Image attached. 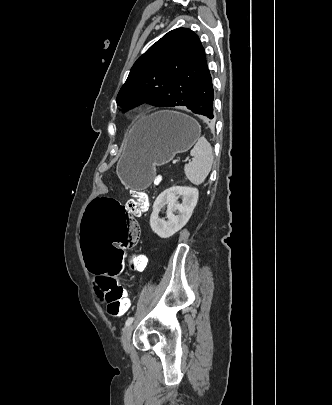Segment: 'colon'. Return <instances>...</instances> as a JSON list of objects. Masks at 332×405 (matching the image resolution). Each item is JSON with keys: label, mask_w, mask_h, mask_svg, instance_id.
Returning <instances> with one entry per match:
<instances>
[{"label": "colon", "mask_w": 332, "mask_h": 405, "mask_svg": "<svg viewBox=\"0 0 332 405\" xmlns=\"http://www.w3.org/2000/svg\"><path fill=\"white\" fill-rule=\"evenodd\" d=\"M86 208L80 229L83 266L97 275V288L107 312L117 318L129 308L127 293L119 283L118 275H122V268H125L127 249H136L141 236V227H137L133 211L144 213L147 210V196L142 190H133L126 205L118 197H93ZM146 266L145 256L131 257L133 271L142 272Z\"/></svg>", "instance_id": "5ec220e1"}]
</instances>
